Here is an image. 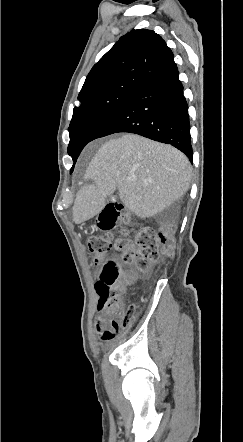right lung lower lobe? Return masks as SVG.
<instances>
[{
	"mask_svg": "<svg viewBox=\"0 0 243 442\" xmlns=\"http://www.w3.org/2000/svg\"><path fill=\"white\" fill-rule=\"evenodd\" d=\"M129 132L170 144L192 162L188 105L176 63L134 89L108 116L92 140Z\"/></svg>",
	"mask_w": 243,
	"mask_h": 442,
	"instance_id": "right-lung-lower-lobe-1",
	"label": "right lung lower lobe"
}]
</instances>
